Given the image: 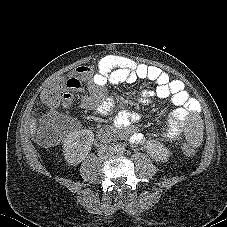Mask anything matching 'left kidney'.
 Segmentation results:
<instances>
[{
	"mask_svg": "<svg viewBox=\"0 0 227 227\" xmlns=\"http://www.w3.org/2000/svg\"><path fill=\"white\" fill-rule=\"evenodd\" d=\"M148 153L154 160L159 162H166L170 157L169 150L158 142L150 143Z\"/></svg>",
	"mask_w": 227,
	"mask_h": 227,
	"instance_id": "1",
	"label": "left kidney"
}]
</instances>
